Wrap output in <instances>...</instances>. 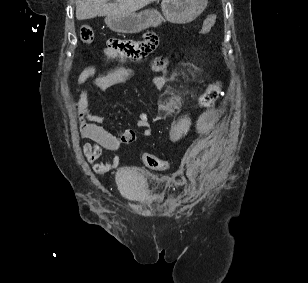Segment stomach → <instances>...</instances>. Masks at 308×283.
Listing matches in <instances>:
<instances>
[{
	"mask_svg": "<svg viewBox=\"0 0 308 283\" xmlns=\"http://www.w3.org/2000/svg\"><path fill=\"white\" fill-rule=\"evenodd\" d=\"M208 0H162V14L157 10H144L121 16H106L105 23L114 32L138 33L162 21L185 24L195 20L206 8Z\"/></svg>",
	"mask_w": 308,
	"mask_h": 283,
	"instance_id": "0dacf381",
	"label": "stomach"
}]
</instances>
